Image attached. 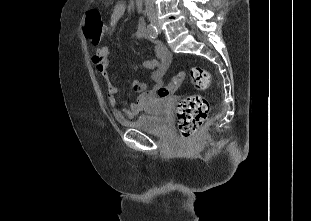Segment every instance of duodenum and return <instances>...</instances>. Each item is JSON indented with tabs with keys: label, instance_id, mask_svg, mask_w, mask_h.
Instances as JSON below:
<instances>
[{
	"label": "duodenum",
	"instance_id": "1",
	"mask_svg": "<svg viewBox=\"0 0 311 221\" xmlns=\"http://www.w3.org/2000/svg\"><path fill=\"white\" fill-rule=\"evenodd\" d=\"M135 4H136V8L140 11H142L144 9V6H145V0H135ZM139 25L141 27H145L146 23L144 20H141L139 22Z\"/></svg>",
	"mask_w": 311,
	"mask_h": 221
}]
</instances>
